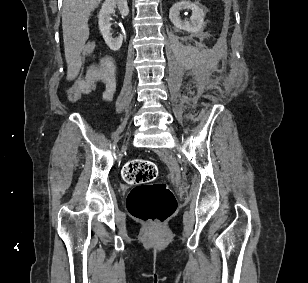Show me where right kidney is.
Returning a JSON list of instances; mask_svg holds the SVG:
<instances>
[{
	"instance_id": "1",
	"label": "right kidney",
	"mask_w": 308,
	"mask_h": 283,
	"mask_svg": "<svg viewBox=\"0 0 308 283\" xmlns=\"http://www.w3.org/2000/svg\"><path fill=\"white\" fill-rule=\"evenodd\" d=\"M115 8L119 9L122 16H127L129 13L127 0H105L98 15V24L107 46L113 51H118L122 46L123 36L113 38L111 33L110 20L111 15L115 13Z\"/></svg>"
}]
</instances>
